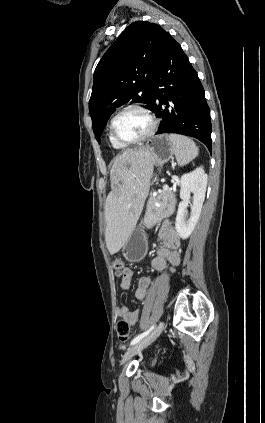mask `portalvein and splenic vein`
<instances>
[{"label": "portal vein and splenic vein", "instance_id": "1", "mask_svg": "<svg viewBox=\"0 0 265 423\" xmlns=\"http://www.w3.org/2000/svg\"><path fill=\"white\" fill-rule=\"evenodd\" d=\"M163 189H164V190H168V189H169V186H168V185H164V186H163Z\"/></svg>", "mask_w": 265, "mask_h": 423}]
</instances>
